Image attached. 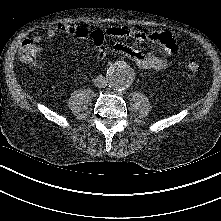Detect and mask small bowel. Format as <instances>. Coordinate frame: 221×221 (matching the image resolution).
<instances>
[{"instance_id":"small-bowel-1","label":"small bowel","mask_w":221,"mask_h":221,"mask_svg":"<svg viewBox=\"0 0 221 221\" xmlns=\"http://www.w3.org/2000/svg\"><path fill=\"white\" fill-rule=\"evenodd\" d=\"M45 36L48 38L68 36L77 37L79 39H89L96 48L97 63H101L105 59L107 51L109 50L111 52L118 53L127 57L141 69H152L157 71L167 69L170 67L171 62L167 59L159 57L153 51L143 53L132 46L120 42L106 46V36L119 39H131L136 42L148 41L157 43L161 45L164 51L169 55L177 54L179 51V47L176 41L168 33L158 31H140L124 26H113L102 30L89 29L85 25L62 24L47 28L45 31ZM33 40L36 44H38L41 42L42 37L37 35ZM37 67L40 68L41 65L37 64Z\"/></svg>"}]
</instances>
